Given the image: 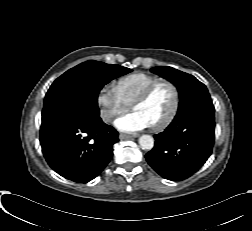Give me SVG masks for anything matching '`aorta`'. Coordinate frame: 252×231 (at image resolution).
Listing matches in <instances>:
<instances>
[{"instance_id": "1", "label": "aorta", "mask_w": 252, "mask_h": 231, "mask_svg": "<svg viewBox=\"0 0 252 231\" xmlns=\"http://www.w3.org/2000/svg\"><path fill=\"white\" fill-rule=\"evenodd\" d=\"M139 144L144 150H151L154 147V139L150 135H142L139 138Z\"/></svg>"}]
</instances>
